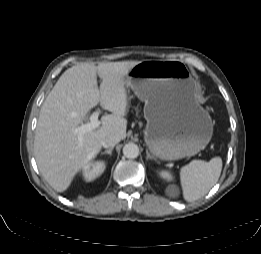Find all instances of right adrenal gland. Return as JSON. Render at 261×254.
<instances>
[{"instance_id":"obj_1","label":"right adrenal gland","mask_w":261,"mask_h":254,"mask_svg":"<svg viewBox=\"0 0 261 254\" xmlns=\"http://www.w3.org/2000/svg\"><path fill=\"white\" fill-rule=\"evenodd\" d=\"M112 150H113V147L108 148L107 150H105L104 152H102L101 155L109 154V155L111 156V155H112Z\"/></svg>"}]
</instances>
